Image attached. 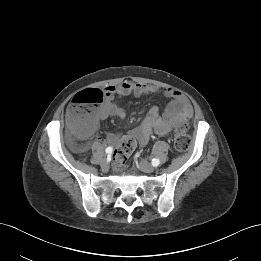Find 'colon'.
Returning a JSON list of instances; mask_svg holds the SVG:
<instances>
[{
  "label": "colon",
  "instance_id": "5ec220e1",
  "mask_svg": "<svg viewBox=\"0 0 261 261\" xmlns=\"http://www.w3.org/2000/svg\"><path fill=\"white\" fill-rule=\"evenodd\" d=\"M105 94L101 90H90L79 94L68 108L69 123L78 134L88 131L94 121L95 106L102 101ZM174 147L178 151H185L191 145V138L187 133L184 121L174 125ZM136 147V141L131 137H124L115 152L114 158L119 163H124Z\"/></svg>",
  "mask_w": 261,
  "mask_h": 261
}]
</instances>
